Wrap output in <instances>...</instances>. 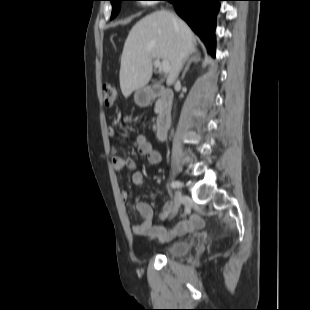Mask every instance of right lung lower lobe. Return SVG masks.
Listing matches in <instances>:
<instances>
[{"label":"right lung lower lobe","mask_w":310,"mask_h":310,"mask_svg":"<svg viewBox=\"0 0 310 310\" xmlns=\"http://www.w3.org/2000/svg\"><path fill=\"white\" fill-rule=\"evenodd\" d=\"M173 3L177 14L203 40L214 56L216 15L222 0H164Z\"/></svg>","instance_id":"1"}]
</instances>
